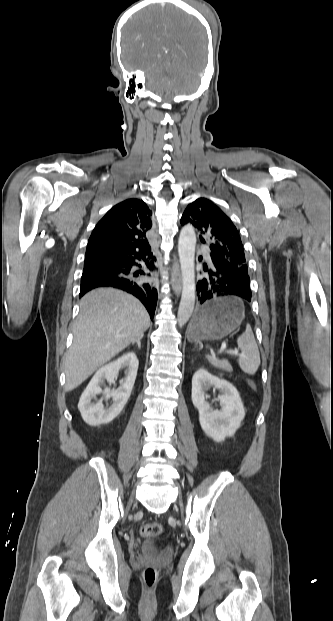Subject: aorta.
Segmentation results:
<instances>
[{
    "label": "aorta",
    "instance_id": "aorta-1",
    "mask_svg": "<svg viewBox=\"0 0 333 621\" xmlns=\"http://www.w3.org/2000/svg\"><path fill=\"white\" fill-rule=\"evenodd\" d=\"M195 246L196 234L191 225L182 227L179 242L178 254L182 274V295L178 308L177 321L179 325H184L191 317L195 305Z\"/></svg>",
    "mask_w": 333,
    "mask_h": 621
}]
</instances>
